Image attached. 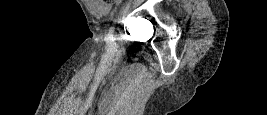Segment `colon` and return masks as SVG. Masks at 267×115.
<instances>
[{
  "mask_svg": "<svg viewBox=\"0 0 267 115\" xmlns=\"http://www.w3.org/2000/svg\"><path fill=\"white\" fill-rule=\"evenodd\" d=\"M98 1H100V2H102V3H105V4L109 5V4H112V3H116V2H118L119 0H98Z\"/></svg>",
  "mask_w": 267,
  "mask_h": 115,
  "instance_id": "5ec220e1",
  "label": "colon"
}]
</instances>
